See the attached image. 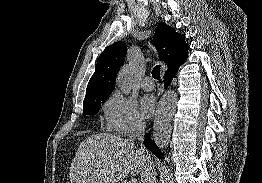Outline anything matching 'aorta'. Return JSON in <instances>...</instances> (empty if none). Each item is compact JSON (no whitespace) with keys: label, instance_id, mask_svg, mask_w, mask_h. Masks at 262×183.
<instances>
[{"label":"aorta","instance_id":"762f6f07","mask_svg":"<svg viewBox=\"0 0 262 183\" xmlns=\"http://www.w3.org/2000/svg\"><path fill=\"white\" fill-rule=\"evenodd\" d=\"M116 85L124 94H129L131 90V68L125 65L120 70ZM177 94L174 91L165 93L159 101L153 126V138L156 145L165 148L171 135V121L175 112Z\"/></svg>","mask_w":262,"mask_h":183}]
</instances>
